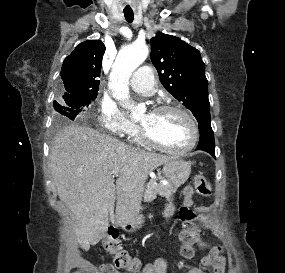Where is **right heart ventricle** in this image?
<instances>
[{"mask_svg": "<svg viewBox=\"0 0 285 273\" xmlns=\"http://www.w3.org/2000/svg\"><path fill=\"white\" fill-rule=\"evenodd\" d=\"M134 142H136L137 144H142V141L138 136L134 137Z\"/></svg>", "mask_w": 285, "mask_h": 273, "instance_id": "right-heart-ventricle-1", "label": "right heart ventricle"}]
</instances>
